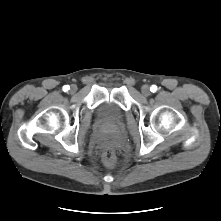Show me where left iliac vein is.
<instances>
[{
  "label": "left iliac vein",
  "mask_w": 221,
  "mask_h": 221,
  "mask_svg": "<svg viewBox=\"0 0 221 221\" xmlns=\"http://www.w3.org/2000/svg\"><path fill=\"white\" fill-rule=\"evenodd\" d=\"M141 92H142V94H143L145 97H147V96H149V95L151 94L150 88H149L148 85H143L142 88H141Z\"/></svg>",
  "instance_id": "left-iliac-vein-1"
}]
</instances>
